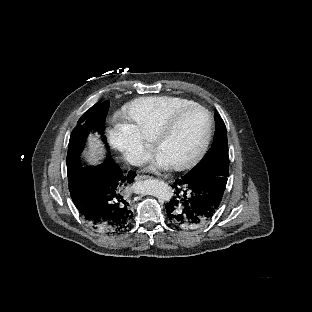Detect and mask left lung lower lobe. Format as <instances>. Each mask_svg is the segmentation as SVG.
Here are the masks:
<instances>
[{"mask_svg":"<svg viewBox=\"0 0 312 312\" xmlns=\"http://www.w3.org/2000/svg\"><path fill=\"white\" fill-rule=\"evenodd\" d=\"M227 176V169H210L177 179L172 186L176 196L165 206L170 223L188 229L210 221L219 208Z\"/></svg>","mask_w":312,"mask_h":312,"instance_id":"1","label":"left lung lower lobe"}]
</instances>
